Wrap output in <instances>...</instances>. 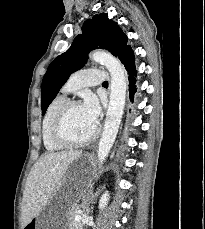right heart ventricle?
<instances>
[{
  "label": "right heart ventricle",
  "mask_w": 205,
  "mask_h": 229,
  "mask_svg": "<svg viewBox=\"0 0 205 229\" xmlns=\"http://www.w3.org/2000/svg\"><path fill=\"white\" fill-rule=\"evenodd\" d=\"M66 102L64 95L56 96L48 105L42 120V140L44 147L49 152L59 151L63 146L56 143L52 137L53 121L59 108Z\"/></svg>",
  "instance_id": "obj_1"
}]
</instances>
